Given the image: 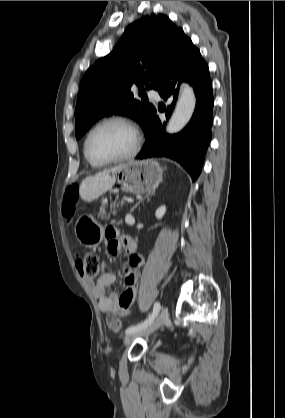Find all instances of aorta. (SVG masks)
Listing matches in <instances>:
<instances>
[{"mask_svg": "<svg viewBox=\"0 0 285 418\" xmlns=\"http://www.w3.org/2000/svg\"><path fill=\"white\" fill-rule=\"evenodd\" d=\"M196 105V97L191 86L184 83L175 110L167 124L166 131L174 134L182 130L190 121Z\"/></svg>", "mask_w": 285, "mask_h": 418, "instance_id": "obj_1", "label": "aorta"}]
</instances>
